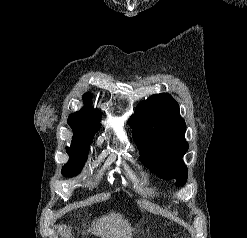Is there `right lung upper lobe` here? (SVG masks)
Listing matches in <instances>:
<instances>
[{"label": "right lung upper lobe", "instance_id": "right-lung-upper-lobe-1", "mask_svg": "<svg viewBox=\"0 0 247 238\" xmlns=\"http://www.w3.org/2000/svg\"><path fill=\"white\" fill-rule=\"evenodd\" d=\"M85 106L78 112L71 114L68 124L74 131L72 144L90 145L93 134L100 126L101 113L91 105V94L83 96Z\"/></svg>", "mask_w": 247, "mask_h": 238}]
</instances>
